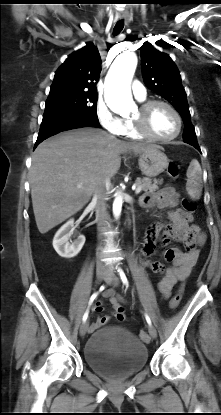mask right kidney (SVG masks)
<instances>
[{
    "label": "right kidney",
    "instance_id": "obj_1",
    "mask_svg": "<svg viewBox=\"0 0 221 415\" xmlns=\"http://www.w3.org/2000/svg\"><path fill=\"white\" fill-rule=\"evenodd\" d=\"M74 220L70 219L55 234L53 239V247L55 251L64 258H72L76 256L85 243V236L80 235L78 238L69 243V238L73 233Z\"/></svg>",
    "mask_w": 221,
    "mask_h": 415
}]
</instances>
